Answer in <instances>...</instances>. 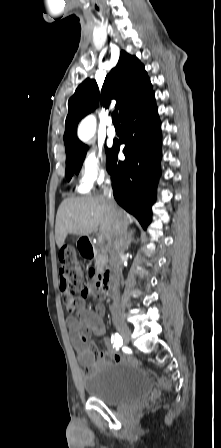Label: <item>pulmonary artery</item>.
Wrapping results in <instances>:
<instances>
[{"mask_svg":"<svg viewBox=\"0 0 221 448\" xmlns=\"http://www.w3.org/2000/svg\"><path fill=\"white\" fill-rule=\"evenodd\" d=\"M107 135L110 139H113L116 137V130H115L114 126L112 125L111 120H109V125L107 128Z\"/></svg>","mask_w":221,"mask_h":448,"instance_id":"obj_1","label":"pulmonary artery"}]
</instances>
